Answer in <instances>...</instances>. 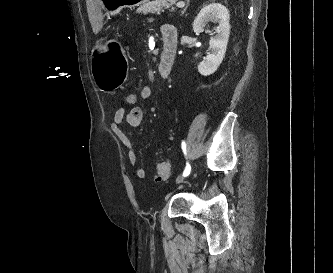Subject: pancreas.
Here are the masks:
<instances>
[{
    "label": "pancreas",
    "mask_w": 333,
    "mask_h": 273,
    "mask_svg": "<svg viewBox=\"0 0 333 273\" xmlns=\"http://www.w3.org/2000/svg\"><path fill=\"white\" fill-rule=\"evenodd\" d=\"M175 2L176 0H154L141 6L138 9V13L146 15L147 13L160 12L162 10V8L160 7L161 5L164 8L169 9L170 11H174L175 8L172 6L173 4H175Z\"/></svg>",
    "instance_id": "1"
}]
</instances>
